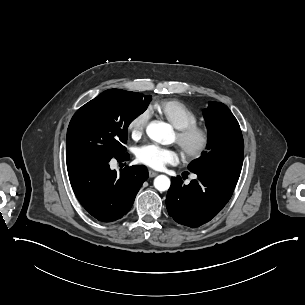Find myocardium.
Segmentation results:
<instances>
[{"label":"myocardium","mask_w":305,"mask_h":305,"mask_svg":"<svg viewBox=\"0 0 305 305\" xmlns=\"http://www.w3.org/2000/svg\"><path fill=\"white\" fill-rule=\"evenodd\" d=\"M176 141L186 159L196 160L201 158L210 148L212 134L206 126L195 124L178 128Z\"/></svg>","instance_id":"1"}]
</instances>
